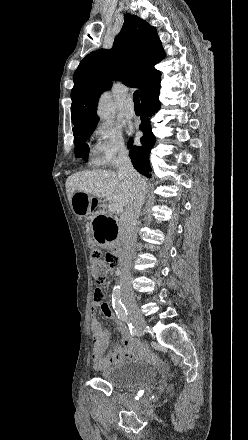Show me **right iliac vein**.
I'll list each match as a JSON object with an SVG mask.
<instances>
[{
  "label": "right iliac vein",
  "mask_w": 248,
  "mask_h": 440,
  "mask_svg": "<svg viewBox=\"0 0 248 440\" xmlns=\"http://www.w3.org/2000/svg\"><path fill=\"white\" fill-rule=\"evenodd\" d=\"M124 303L135 326L139 330L145 329L146 321L139 310L135 297L132 295L126 296L124 298Z\"/></svg>",
  "instance_id": "1"
}]
</instances>
